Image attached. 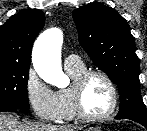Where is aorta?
Wrapping results in <instances>:
<instances>
[{
  "instance_id": "aorta-1",
  "label": "aorta",
  "mask_w": 147,
  "mask_h": 131,
  "mask_svg": "<svg viewBox=\"0 0 147 131\" xmlns=\"http://www.w3.org/2000/svg\"><path fill=\"white\" fill-rule=\"evenodd\" d=\"M62 43L61 31L51 28L37 38L32 52V62L36 73L46 83L58 88L69 84V78L64 74L61 66Z\"/></svg>"
}]
</instances>
